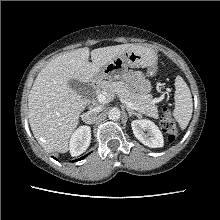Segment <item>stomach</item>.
<instances>
[{
  "label": "stomach",
  "instance_id": "obj_1",
  "mask_svg": "<svg viewBox=\"0 0 220 220\" xmlns=\"http://www.w3.org/2000/svg\"><path fill=\"white\" fill-rule=\"evenodd\" d=\"M157 61L158 56L155 50L149 47L135 45L101 67L93 81L98 84L103 79H122L126 76L128 67H146L148 68V76H153L156 72Z\"/></svg>",
  "mask_w": 220,
  "mask_h": 220
}]
</instances>
